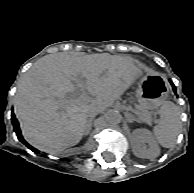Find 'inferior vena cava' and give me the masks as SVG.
I'll list each match as a JSON object with an SVG mask.
<instances>
[{
    "label": "inferior vena cava",
    "mask_w": 194,
    "mask_h": 193,
    "mask_svg": "<svg viewBox=\"0 0 194 193\" xmlns=\"http://www.w3.org/2000/svg\"><path fill=\"white\" fill-rule=\"evenodd\" d=\"M102 110L99 108H94L92 111L88 113V117L93 118L96 116L98 113H100Z\"/></svg>",
    "instance_id": "inferior-vena-cava-1"
}]
</instances>
